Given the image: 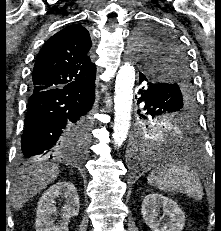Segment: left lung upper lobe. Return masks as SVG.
Wrapping results in <instances>:
<instances>
[{
  "label": "left lung upper lobe",
  "instance_id": "obj_1",
  "mask_svg": "<svg viewBox=\"0 0 221 231\" xmlns=\"http://www.w3.org/2000/svg\"><path fill=\"white\" fill-rule=\"evenodd\" d=\"M134 44L137 64L163 81L157 84L166 89L158 98L145 102L146 114L152 118L187 115L194 103V89L188 56L177 37L160 26L142 24L136 30Z\"/></svg>",
  "mask_w": 221,
  "mask_h": 231
}]
</instances>
